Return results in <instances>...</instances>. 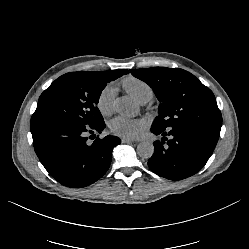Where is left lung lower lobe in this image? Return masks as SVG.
Listing matches in <instances>:
<instances>
[{
	"instance_id": "left-lung-lower-lobe-1",
	"label": "left lung lower lobe",
	"mask_w": 249,
	"mask_h": 249,
	"mask_svg": "<svg viewBox=\"0 0 249 249\" xmlns=\"http://www.w3.org/2000/svg\"><path fill=\"white\" fill-rule=\"evenodd\" d=\"M221 126L183 124L169 129L152 125L151 132L162 136L148 160L149 168L169 180H182L196 174L212 155ZM168 137V138H167Z\"/></svg>"
}]
</instances>
